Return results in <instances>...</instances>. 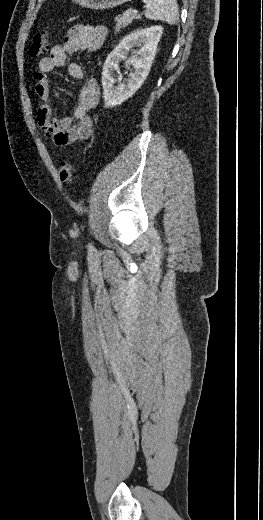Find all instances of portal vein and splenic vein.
<instances>
[{"label": "portal vein and splenic vein", "instance_id": "obj_1", "mask_svg": "<svg viewBox=\"0 0 263 520\" xmlns=\"http://www.w3.org/2000/svg\"><path fill=\"white\" fill-rule=\"evenodd\" d=\"M147 7H148V6H147V5H145V6L143 7V8H147Z\"/></svg>", "mask_w": 263, "mask_h": 520}]
</instances>
